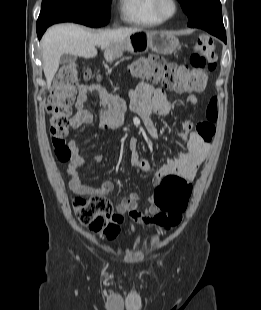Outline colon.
Listing matches in <instances>:
<instances>
[{
	"mask_svg": "<svg viewBox=\"0 0 261 310\" xmlns=\"http://www.w3.org/2000/svg\"><path fill=\"white\" fill-rule=\"evenodd\" d=\"M216 68V47L208 36H200L190 57V67L166 62L157 55H150L134 62L131 72L148 82L159 83L164 89L183 92H203L208 83V76ZM84 77L90 79V70L84 71ZM79 69L69 62L58 71L54 89L50 97V134L56 157L61 162L70 159L71 152L66 145L69 118L72 113ZM218 118L217 100L211 99L206 109V120L196 125V131L206 140L215 134V122ZM190 181L178 174L165 176L156 188L152 201L160 212L154 217V224L169 230L178 226L185 212L191 195ZM74 212L79 222L90 230L103 233L113 239L119 233L122 218L113 212L111 202L104 195L78 197L74 201Z\"/></svg>",
	"mask_w": 261,
	"mask_h": 310,
	"instance_id": "colon-1",
	"label": "colon"
}]
</instances>
